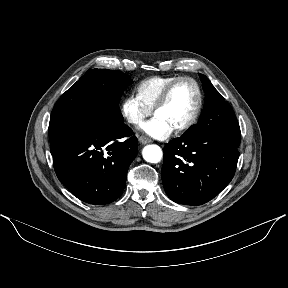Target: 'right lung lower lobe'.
<instances>
[{"instance_id": "1", "label": "right lung lower lobe", "mask_w": 288, "mask_h": 288, "mask_svg": "<svg viewBox=\"0 0 288 288\" xmlns=\"http://www.w3.org/2000/svg\"><path fill=\"white\" fill-rule=\"evenodd\" d=\"M125 124L113 126L84 109L49 125L58 179L78 199L108 204L122 194L138 140Z\"/></svg>"}]
</instances>
